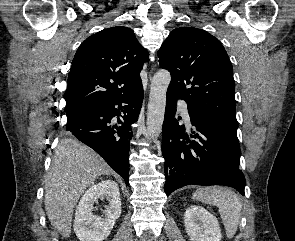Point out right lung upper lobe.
I'll list each match as a JSON object with an SVG mask.
<instances>
[{
	"label": "right lung upper lobe",
	"mask_w": 295,
	"mask_h": 241,
	"mask_svg": "<svg viewBox=\"0 0 295 241\" xmlns=\"http://www.w3.org/2000/svg\"><path fill=\"white\" fill-rule=\"evenodd\" d=\"M147 59L130 28L111 27L88 37L79 46L68 75L66 115L131 92L142 84L139 73Z\"/></svg>",
	"instance_id": "1"
}]
</instances>
